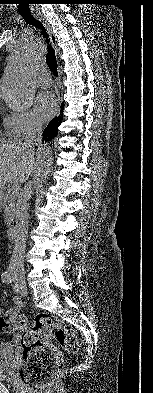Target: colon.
<instances>
[{
  "label": "colon",
  "mask_w": 153,
  "mask_h": 393,
  "mask_svg": "<svg viewBox=\"0 0 153 393\" xmlns=\"http://www.w3.org/2000/svg\"><path fill=\"white\" fill-rule=\"evenodd\" d=\"M20 330L23 365L20 369L22 382L34 393H40L63 367L61 350L50 342L54 336L69 354L77 355L81 344L73 329L57 317L39 313L29 324L23 315L0 317V332Z\"/></svg>",
  "instance_id": "obj_1"
}]
</instances>
